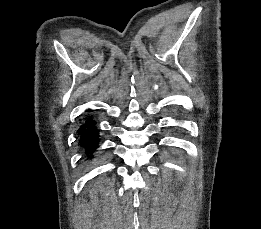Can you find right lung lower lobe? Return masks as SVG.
Returning a JSON list of instances; mask_svg holds the SVG:
<instances>
[{
	"label": "right lung lower lobe",
	"mask_w": 261,
	"mask_h": 229,
	"mask_svg": "<svg viewBox=\"0 0 261 229\" xmlns=\"http://www.w3.org/2000/svg\"><path fill=\"white\" fill-rule=\"evenodd\" d=\"M98 133L99 130L95 126L94 120L90 118H88L86 122L77 130V134L79 135V144L81 147L85 148L88 155L93 154L98 146Z\"/></svg>",
	"instance_id": "1"
}]
</instances>
